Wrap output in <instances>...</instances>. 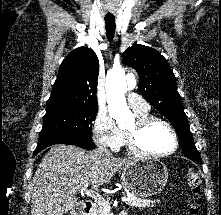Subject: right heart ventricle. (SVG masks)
<instances>
[{
    "instance_id": "1",
    "label": "right heart ventricle",
    "mask_w": 221,
    "mask_h": 215,
    "mask_svg": "<svg viewBox=\"0 0 221 215\" xmlns=\"http://www.w3.org/2000/svg\"><path fill=\"white\" fill-rule=\"evenodd\" d=\"M137 117H146L148 116V111L147 112H140V113H135ZM123 144H127V137L126 135L124 134V142Z\"/></svg>"
}]
</instances>
